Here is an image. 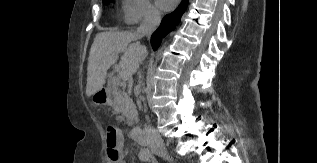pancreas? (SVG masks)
Segmentation results:
<instances>
[{
    "label": "pancreas",
    "instance_id": "pancreas-1",
    "mask_svg": "<svg viewBox=\"0 0 317 163\" xmlns=\"http://www.w3.org/2000/svg\"><path fill=\"white\" fill-rule=\"evenodd\" d=\"M113 113L117 115V119L125 121L129 126H133L138 121V112L132 99L125 91L113 85L111 88ZM121 114V116H119Z\"/></svg>",
    "mask_w": 317,
    "mask_h": 163
}]
</instances>
